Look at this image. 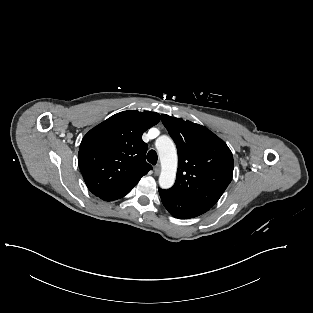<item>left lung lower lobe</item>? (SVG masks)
I'll return each mask as SVG.
<instances>
[{"instance_id":"0a47b994","label":"left lung lower lobe","mask_w":313,"mask_h":313,"mask_svg":"<svg viewBox=\"0 0 313 313\" xmlns=\"http://www.w3.org/2000/svg\"><path fill=\"white\" fill-rule=\"evenodd\" d=\"M163 205L168 212L178 219L197 217L210 209V207L183 199L169 190L158 189Z\"/></svg>"}]
</instances>
